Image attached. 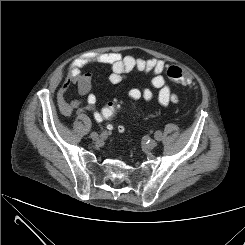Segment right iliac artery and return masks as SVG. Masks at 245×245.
Masks as SVG:
<instances>
[{
	"mask_svg": "<svg viewBox=\"0 0 245 245\" xmlns=\"http://www.w3.org/2000/svg\"><path fill=\"white\" fill-rule=\"evenodd\" d=\"M106 136V132H103L102 134H101V137H105Z\"/></svg>",
	"mask_w": 245,
	"mask_h": 245,
	"instance_id": "82829eb1",
	"label": "right iliac artery"
}]
</instances>
